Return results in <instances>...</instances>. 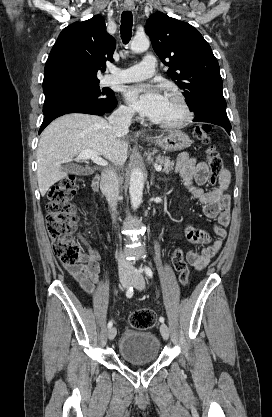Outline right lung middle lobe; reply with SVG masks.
Masks as SVG:
<instances>
[{
	"instance_id": "right-lung-middle-lobe-1",
	"label": "right lung middle lobe",
	"mask_w": 272,
	"mask_h": 417,
	"mask_svg": "<svg viewBox=\"0 0 272 417\" xmlns=\"http://www.w3.org/2000/svg\"><path fill=\"white\" fill-rule=\"evenodd\" d=\"M43 114L72 102L91 103L98 106L108 105L114 99V93L108 88H99V82L89 85H67L45 90Z\"/></svg>"
}]
</instances>
